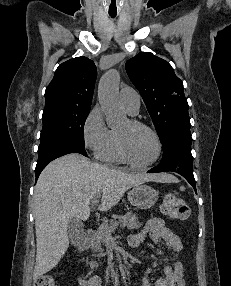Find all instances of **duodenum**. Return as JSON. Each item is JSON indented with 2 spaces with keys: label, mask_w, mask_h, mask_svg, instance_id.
I'll list each match as a JSON object with an SVG mask.
<instances>
[{
  "label": "duodenum",
  "mask_w": 231,
  "mask_h": 286,
  "mask_svg": "<svg viewBox=\"0 0 231 286\" xmlns=\"http://www.w3.org/2000/svg\"><path fill=\"white\" fill-rule=\"evenodd\" d=\"M93 239H94L93 232L88 231L76 240V247L81 251L87 250L91 246Z\"/></svg>",
  "instance_id": "1"
}]
</instances>
